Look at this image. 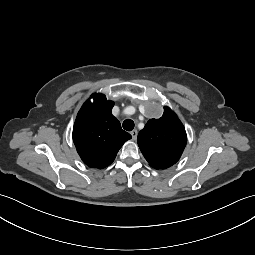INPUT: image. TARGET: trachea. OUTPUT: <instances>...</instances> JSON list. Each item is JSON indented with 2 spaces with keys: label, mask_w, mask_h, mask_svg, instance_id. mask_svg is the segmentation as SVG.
I'll list each match as a JSON object with an SVG mask.
<instances>
[{
  "label": "trachea",
  "mask_w": 255,
  "mask_h": 255,
  "mask_svg": "<svg viewBox=\"0 0 255 255\" xmlns=\"http://www.w3.org/2000/svg\"><path fill=\"white\" fill-rule=\"evenodd\" d=\"M123 128H124L126 131H131V130L134 128V122H133V120H131V119H126V120L123 122Z\"/></svg>",
  "instance_id": "obj_1"
}]
</instances>
